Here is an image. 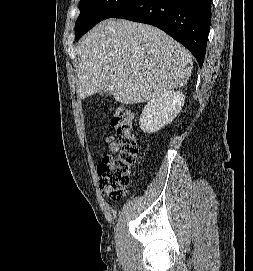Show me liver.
I'll list each match as a JSON object with an SVG mask.
<instances>
[{"label":"liver","mask_w":253,"mask_h":271,"mask_svg":"<svg viewBox=\"0 0 253 271\" xmlns=\"http://www.w3.org/2000/svg\"><path fill=\"white\" fill-rule=\"evenodd\" d=\"M77 55L80 98L105 88L127 105L184 86L193 67L188 50L165 32L124 19L96 25L79 42Z\"/></svg>","instance_id":"1"}]
</instances>
